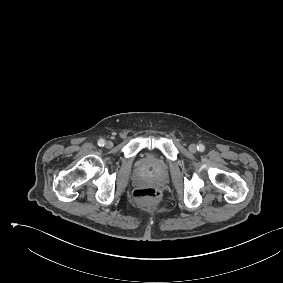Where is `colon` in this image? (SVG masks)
<instances>
[{"instance_id":"1","label":"colon","mask_w":283,"mask_h":283,"mask_svg":"<svg viewBox=\"0 0 283 283\" xmlns=\"http://www.w3.org/2000/svg\"><path fill=\"white\" fill-rule=\"evenodd\" d=\"M134 199L141 204H151L160 197V192L154 187H144L134 191Z\"/></svg>"}]
</instances>
